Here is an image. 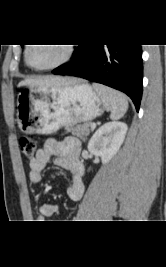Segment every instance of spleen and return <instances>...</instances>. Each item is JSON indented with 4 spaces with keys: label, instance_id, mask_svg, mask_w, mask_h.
I'll list each match as a JSON object with an SVG mask.
<instances>
[{
    "label": "spleen",
    "instance_id": "3e777b00",
    "mask_svg": "<svg viewBox=\"0 0 166 267\" xmlns=\"http://www.w3.org/2000/svg\"><path fill=\"white\" fill-rule=\"evenodd\" d=\"M93 88L100 96L105 108L111 112L112 120H118L124 116L128 109V100L123 93L99 84H94Z\"/></svg>",
    "mask_w": 166,
    "mask_h": 267
}]
</instances>
